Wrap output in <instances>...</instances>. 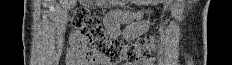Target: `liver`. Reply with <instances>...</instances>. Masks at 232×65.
<instances>
[{
	"label": "liver",
	"mask_w": 232,
	"mask_h": 65,
	"mask_svg": "<svg viewBox=\"0 0 232 65\" xmlns=\"http://www.w3.org/2000/svg\"><path fill=\"white\" fill-rule=\"evenodd\" d=\"M75 0H61L60 3L64 8H68L70 6H73L75 4Z\"/></svg>",
	"instance_id": "liver-1"
}]
</instances>
